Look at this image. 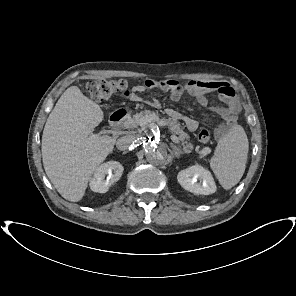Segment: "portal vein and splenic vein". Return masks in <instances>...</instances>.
Instances as JSON below:
<instances>
[{"mask_svg": "<svg viewBox=\"0 0 296 296\" xmlns=\"http://www.w3.org/2000/svg\"><path fill=\"white\" fill-rule=\"evenodd\" d=\"M153 121H158L157 118H156L155 116H145V117H143V118L140 120V124H141V126H146V125H148L149 123H151V122H153ZM171 140H172L174 143H179V142H180L179 138H178L177 136H175V135H172V136H171ZM209 152H210V149L207 148V147L204 148V149L202 150V153H203L204 155L208 154Z\"/></svg>", "mask_w": 296, "mask_h": 296, "instance_id": "portal-vein-and-splenic-vein-1", "label": "portal vein and splenic vein"}]
</instances>
